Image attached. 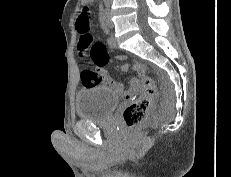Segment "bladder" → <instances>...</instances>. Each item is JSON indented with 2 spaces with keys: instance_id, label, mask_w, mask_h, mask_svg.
<instances>
[{
  "instance_id": "obj_1",
  "label": "bladder",
  "mask_w": 231,
  "mask_h": 177,
  "mask_svg": "<svg viewBox=\"0 0 231 177\" xmlns=\"http://www.w3.org/2000/svg\"><path fill=\"white\" fill-rule=\"evenodd\" d=\"M119 103L118 95L104 86H92L76 95V114L81 120L102 122L107 120Z\"/></svg>"
}]
</instances>
